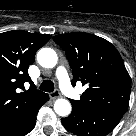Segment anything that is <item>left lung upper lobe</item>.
Instances as JSON below:
<instances>
[{
    "mask_svg": "<svg viewBox=\"0 0 136 136\" xmlns=\"http://www.w3.org/2000/svg\"><path fill=\"white\" fill-rule=\"evenodd\" d=\"M53 40L66 52L73 70L72 85L80 80L89 87L72 106L123 116L131 80L116 48L107 40L88 33L56 35Z\"/></svg>",
    "mask_w": 136,
    "mask_h": 136,
    "instance_id": "obj_1",
    "label": "left lung upper lobe"
}]
</instances>
